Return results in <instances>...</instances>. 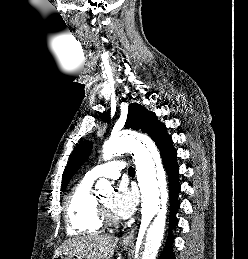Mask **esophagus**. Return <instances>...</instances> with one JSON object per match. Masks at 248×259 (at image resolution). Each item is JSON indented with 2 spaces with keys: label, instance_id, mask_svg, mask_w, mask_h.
Wrapping results in <instances>:
<instances>
[{
  "label": "esophagus",
  "instance_id": "34e87169",
  "mask_svg": "<svg viewBox=\"0 0 248 259\" xmlns=\"http://www.w3.org/2000/svg\"><path fill=\"white\" fill-rule=\"evenodd\" d=\"M136 229H137V227H134L131 231H129L127 234H125L122 237L121 243L122 244H130V243H132L133 240H134Z\"/></svg>",
  "mask_w": 248,
  "mask_h": 259
}]
</instances>
